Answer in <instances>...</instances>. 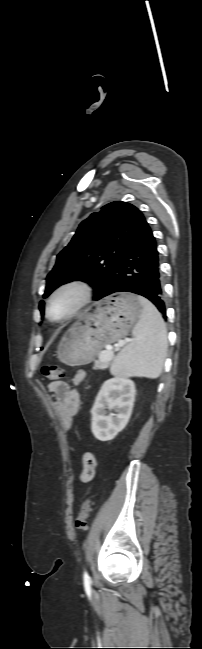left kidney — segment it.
Returning <instances> with one entry per match:
<instances>
[{
  "instance_id": "left-kidney-1",
  "label": "left kidney",
  "mask_w": 202,
  "mask_h": 649,
  "mask_svg": "<svg viewBox=\"0 0 202 649\" xmlns=\"http://www.w3.org/2000/svg\"><path fill=\"white\" fill-rule=\"evenodd\" d=\"M135 394V383L128 378L115 376L103 383L91 410V430L95 438L109 441L125 428L132 413ZM107 409L114 410L116 414H108Z\"/></svg>"
}]
</instances>
